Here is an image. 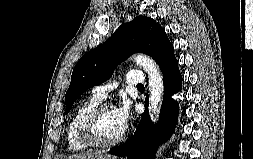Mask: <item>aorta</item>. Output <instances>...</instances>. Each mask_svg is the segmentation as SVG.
<instances>
[{
    "instance_id": "aorta-1",
    "label": "aorta",
    "mask_w": 253,
    "mask_h": 159,
    "mask_svg": "<svg viewBox=\"0 0 253 159\" xmlns=\"http://www.w3.org/2000/svg\"><path fill=\"white\" fill-rule=\"evenodd\" d=\"M134 61L143 67L149 77V109L153 122L158 118L164 90L163 77L155 61L142 54L135 55Z\"/></svg>"
}]
</instances>
